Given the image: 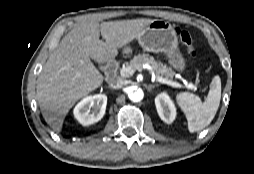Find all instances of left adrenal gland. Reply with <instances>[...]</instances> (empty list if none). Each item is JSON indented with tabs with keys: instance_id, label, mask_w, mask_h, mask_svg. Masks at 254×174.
<instances>
[{
	"instance_id": "left-adrenal-gland-1",
	"label": "left adrenal gland",
	"mask_w": 254,
	"mask_h": 174,
	"mask_svg": "<svg viewBox=\"0 0 254 174\" xmlns=\"http://www.w3.org/2000/svg\"><path fill=\"white\" fill-rule=\"evenodd\" d=\"M157 85H148L147 87H146V89L148 90V91H151L154 87H156Z\"/></svg>"
}]
</instances>
